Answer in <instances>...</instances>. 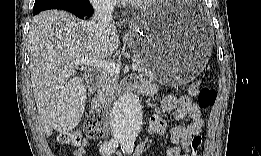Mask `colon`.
I'll return each instance as SVG.
<instances>
[{
	"label": "colon",
	"mask_w": 261,
	"mask_h": 156,
	"mask_svg": "<svg viewBox=\"0 0 261 156\" xmlns=\"http://www.w3.org/2000/svg\"><path fill=\"white\" fill-rule=\"evenodd\" d=\"M189 93L191 96L197 97L198 104L202 108H209L213 106L216 101V91L210 87H200L199 82L190 84ZM84 127L89 137L99 138L104 136L107 132L104 112L102 110L93 111L87 118ZM58 141L61 144L79 147L82 143V134L78 130L62 132L58 136ZM201 145L202 136L200 134L194 135L185 155L196 156Z\"/></svg>",
	"instance_id": "obj_1"
}]
</instances>
